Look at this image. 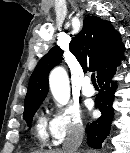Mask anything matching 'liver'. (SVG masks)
<instances>
[{
	"label": "liver",
	"mask_w": 130,
	"mask_h": 153,
	"mask_svg": "<svg viewBox=\"0 0 130 153\" xmlns=\"http://www.w3.org/2000/svg\"><path fill=\"white\" fill-rule=\"evenodd\" d=\"M45 153H63V152L60 150H56V151H50V152H45Z\"/></svg>",
	"instance_id": "liver-1"
}]
</instances>
